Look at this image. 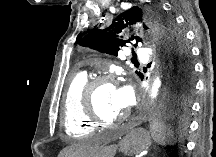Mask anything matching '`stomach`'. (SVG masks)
I'll list each match as a JSON object with an SVG mask.
<instances>
[{"instance_id":"obj_1","label":"stomach","mask_w":216,"mask_h":157,"mask_svg":"<svg viewBox=\"0 0 216 157\" xmlns=\"http://www.w3.org/2000/svg\"><path fill=\"white\" fill-rule=\"evenodd\" d=\"M150 145V134L143 128H135L128 131L121 143V147L129 155L139 154L148 149Z\"/></svg>"}]
</instances>
